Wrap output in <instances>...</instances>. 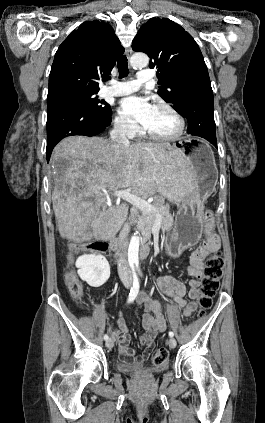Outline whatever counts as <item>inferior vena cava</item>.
Returning a JSON list of instances; mask_svg holds the SVG:
<instances>
[{
  "instance_id": "inferior-vena-cava-1",
  "label": "inferior vena cava",
  "mask_w": 265,
  "mask_h": 423,
  "mask_svg": "<svg viewBox=\"0 0 265 423\" xmlns=\"http://www.w3.org/2000/svg\"><path fill=\"white\" fill-rule=\"evenodd\" d=\"M111 142L128 146L130 144L129 139L126 136V126L123 123H116L114 128L110 131ZM130 232V226L125 224L119 233V248L123 249L127 237ZM118 274L121 280H132V273L127 262V259L122 253L118 254Z\"/></svg>"
}]
</instances>
